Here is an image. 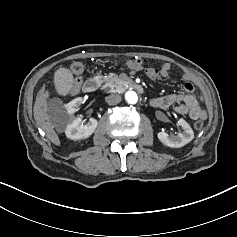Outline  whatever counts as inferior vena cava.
Here are the masks:
<instances>
[{"label": "inferior vena cava", "mask_w": 237, "mask_h": 237, "mask_svg": "<svg viewBox=\"0 0 237 237\" xmlns=\"http://www.w3.org/2000/svg\"><path fill=\"white\" fill-rule=\"evenodd\" d=\"M106 102L109 105H116L121 102V96L119 94H110L106 97Z\"/></svg>", "instance_id": "inferior-vena-cava-1"}]
</instances>
